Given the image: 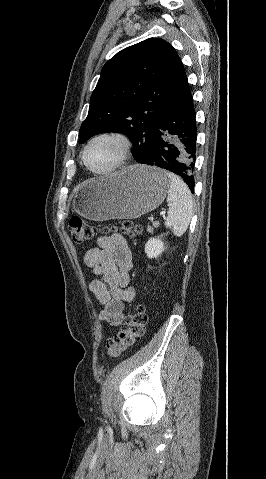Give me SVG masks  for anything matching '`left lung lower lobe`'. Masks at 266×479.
<instances>
[{
	"label": "left lung lower lobe",
	"instance_id": "left-lung-lower-lobe-1",
	"mask_svg": "<svg viewBox=\"0 0 266 479\" xmlns=\"http://www.w3.org/2000/svg\"><path fill=\"white\" fill-rule=\"evenodd\" d=\"M196 137L193 98L186 78L160 116L143 164L155 165L179 175L193 193Z\"/></svg>",
	"mask_w": 266,
	"mask_h": 479
}]
</instances>
